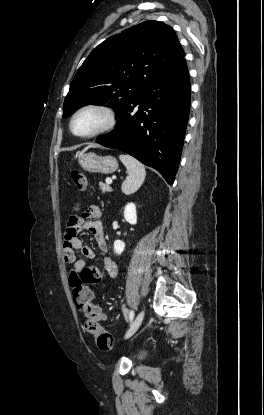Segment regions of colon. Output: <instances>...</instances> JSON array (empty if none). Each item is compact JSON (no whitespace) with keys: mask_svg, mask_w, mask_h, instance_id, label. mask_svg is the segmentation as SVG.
I'll return each mask as SVG.
<instances>
[{"mask_svg":"<svg viewBox=\"0 0 264 415\" xmlns=\"http://www.w3.org/2000/svg\"><path fill=\"white\" fill-rule=\"evenodd\" d=\"M71 181L78 191L85 190L89 185L88 177L80 170L71 172ZM77 220V213H74L67 223L66 232L70 234L76 233L75 223ZM102 279L103 271L96 266L88 267L79 274L71 271L68 275V283L74 303L78 308L82 309L85 316V328L93 334L99 349L108 350L112 346V337L101 327V311L92 302V294L86 288L87 285L100 283Z\"/></svg>","mask_w":264,"mask_h":415,"instance_id":"colon-1","label":"colon"}]
</instances>
